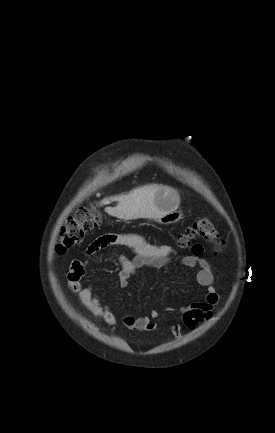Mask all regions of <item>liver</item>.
Wrapping results in <instances>:
<instances>
[{
	"mask_svg": "<svg viewBox=\"0 0 275 433\" xmlns=\"http://www.w3.org/2000/svg\"><path fill=\"white\" fill-rule=\"evenodd\" d=\"M160 187L159 185L142 186L132 190L128 194L104 199L101 204L107 205L112 200L117 201V206L106 207L105 212L119 219H156L160 216V213L155 205V193Z\"/></svg>",
	"mask_w": 275,
	"mask_h": 433,
	"instance_id": "1",
	"label": "liver"
}]
</instances>
